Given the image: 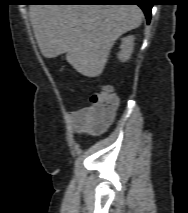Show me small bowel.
<instances>
[{
	"label": "small bowel",
	"instance_id": "1",
	"mask_svg": "<svg viewBox=\"0 0 188 213\" xmlns=\"http://www.w3.org/2000/svg\"><path fill=\"white\" fill-rule=\"evenodd\" d=\"M89 108L84 107L81 108L71 114L73 126L78 132H102L104 129L108 127L111 120L99 125L95 126L92 120L88 116Z\"/></svg>",
	"mask_w": 188,
	"mask_h": 213
}]
</instances>
